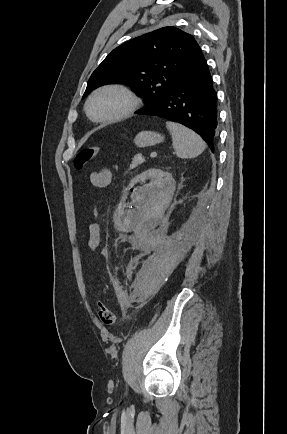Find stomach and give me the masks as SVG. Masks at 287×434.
<instances>
[{
	"label": "stomach",
	"instance_id": "stomach-1",
	"mask_svg": "<svg viewBox=\"0 0 287 434\" xmlns=\"http://www.w3.org/2000/svg\"><path fill=\"white\" fill-rule=\"evenodd\" d=\"M163 141L164 137L161 134L152 131H142L134 139V143L138 147L153 146Z\"/></svg>",
	"mask_w": 287,
	"mask_h": 434
}]
</instances>
